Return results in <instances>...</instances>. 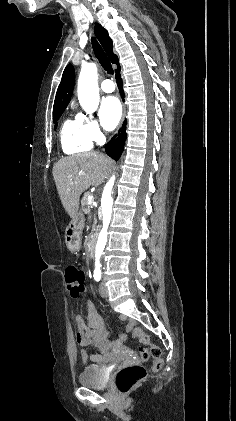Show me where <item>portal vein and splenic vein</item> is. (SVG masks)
Masks as SVG:
<instances>
[{
	"label": "portal vein and splenic vein",
	"instance_id": "obj_1",
	"mask_svg": "<svg viewBox=\"0 0 236 421\" xmlns=\"http://www.w3.org/2000/svg\"><path fill=\"white\" fill-rule=\"evenodd\" d=\"M91 198H92V196H88L89 204H92Z\"/></svg>",
	"mask_w": 236,
	"mask_h": 421
}]
</instances>
